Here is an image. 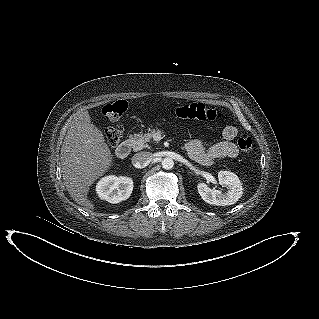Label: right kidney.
<instances>
[{"mask_svg":"<svg viewBox=\"0 0 319 319\" xmlns=\"http://www.w3.org/2000/svg\"><path fill=\"white\" fill-rule=\"evenodd\" d=\"M132 190L133 180L124 176L109 175L103 177L96 186L99 198L113 204L128 199Z\"/></svg>","mask_w":319,"mask_h":319,"instance_id":"right-kidney-1","label":"right kidney"}]
</instances>
